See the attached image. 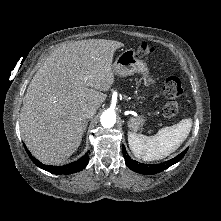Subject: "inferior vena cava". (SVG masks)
<instances>
[{"mask_svg":"<svg viewBox=\"0 0 221 221\" xmlns=\"http://www.w3.org/2000/svg\"><path fill=\"white\" fill-rule=\"evenodd\" d=\"M96 107L94 105H86L82 109V114L84 118H91L95 115L96 113Z\"/></svg>","mask_w":221,"mask_h":221,"instance_id":"602c4592","label":"inferior vena cava"}]
</instances>
